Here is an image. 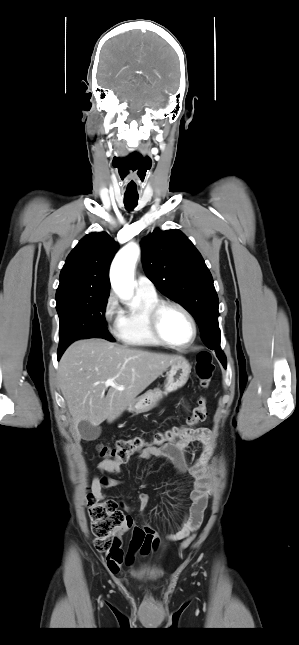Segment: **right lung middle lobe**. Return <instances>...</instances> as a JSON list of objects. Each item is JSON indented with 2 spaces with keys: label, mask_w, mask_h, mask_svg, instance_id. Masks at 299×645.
<instances>
[{
  "label": "right lung middle lobe",
  "mask_w": 299,
  "mask_h": 645,
  "mask_svg": "<svg viewBox=\"0 0 299 645\" xmlns=\"http://www.w3.org/2000/svg\"><path fill=\"white\" fill-rule=\"evenodd\" d=\"M108 297L109 294L71 297L56 305L59 315L58 353L82 338L99 337L114 341L104 316Z\"/></svg>",
  "instance_id": "obj_1"
}]
</instances>
